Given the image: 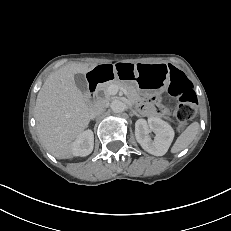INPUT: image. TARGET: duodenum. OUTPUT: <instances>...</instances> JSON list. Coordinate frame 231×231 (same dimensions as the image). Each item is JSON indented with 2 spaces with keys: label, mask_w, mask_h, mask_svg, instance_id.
<instances>
[{
  "label": "duodenum",
  "mask_w": 231,
  "mask_h": 231,
  "mask_svg": "<svg viewBox=\"0 0 231 231\" xmlns=\"http://www.w3.org/2000/svg\"><path fill=\"white\" fill-rule=\"evenodd\" d=\"M107 74L108 71L105 68H102L99 69L98 71H95L89 78V89H90L91 99H93L96 96V88L98 83L104 80Z\"/></svg>",
  "instance_id": "1"
}]
</instances>
